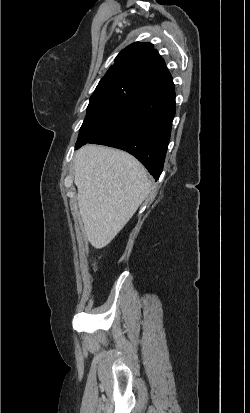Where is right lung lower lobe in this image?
Wrapping results in <instances>:
<instances>
[{
  "label": "right lung lower lobe",
  "mask_w": 250,
  "mask_h": 413,
  "mask_svg": "<svg viewBox=\"0 0 250 413\" xmlns=\"http://www.w3.org/2000/svg\"><path fill=\"white\" fill-rule=\"evenodd\" d=\"M174 115V88L142 95L131 100L116 119L88 143L129 152L157 180L163 170Z\"/></svg>",
  "instance_id": "right-lung-lower-lobe-1"
}]
</instances>
